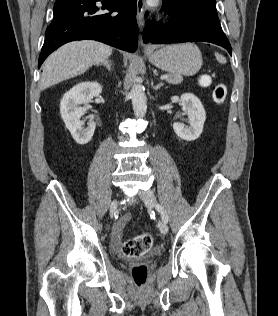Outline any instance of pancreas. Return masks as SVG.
Here are the masks:
<instances>
[{
	"mask_svg": "<svg viewBox=\"0 0 278 316\" xmlns=\"http://www.w3.org/2000/svg\"><path fill=\"white\" fill-rule=\"evenodd\" d=\"M182 81L183 77L179 74H170L166 79V82L170 84H180Z\"/></svg>",
	"mask_w": 278,
	"mask_h": 316,
	"instance_id": "1",
	"label": "pancreas"
}]
</instances>
